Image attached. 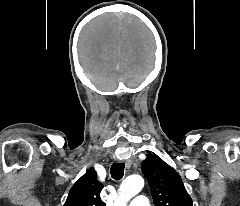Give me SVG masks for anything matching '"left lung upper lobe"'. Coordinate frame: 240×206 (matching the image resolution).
<instances>
[{
  "instance_id": "obj_1",
  "label": "left lung upper lobe",
  "mask_w": 240,
  "mask_h": 206,
  "mask_svg": "<svg viewBox=\"0 0 240 206\" xmlns=\"http://www.w3.org/2000/svg\"><path fill=\"white\" fill-rule=\"evenodd\" d=\"M141 169L156 206H193L179 174L158 156L147 157Z\"/></svg>"
}]
</instances>
